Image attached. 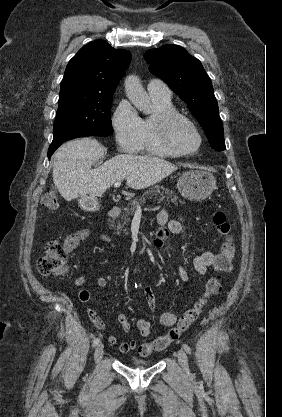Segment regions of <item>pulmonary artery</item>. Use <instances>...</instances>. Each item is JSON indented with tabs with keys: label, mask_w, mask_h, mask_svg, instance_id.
Wrapping results in <instances>:
<instances>
[{
	"label": "pulmonary artery",
	"mask_w": 282,
	"mask_h": 417,
	"mask_svg": "<svg viewBox=\"0 0 282 417\" xmlns=\"http://www.w3.org/2000/svg\"><path fill=\"white\" fill-rule=\"evenodd\" d=\"M147 90L152 98L170 100L172 96L171 90L160 80H151L147 85Z\"/></svg>",
	"instance_id": "pulmonary-artery-1"
}]
</instances>
